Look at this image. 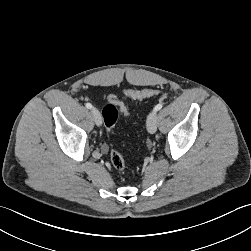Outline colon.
Listing matches in <instances>:
<instances>
[{
	"instance_id": "5ec220e1",
	"label": "colon",
	"mask_w": 251,
	"mask_h": 251,
	"mask_svg": "<svg viewBox=\"0 0 251 251\" xmlns=\"http://www.w3.org/2000/svg\"><path fill=\"white\" fill-rule=\"evenodd\" d=\"M158 92L159 91L156 89H129L124 91V95L134 100H142L156 95ZM119 111L123 112L124 114H128L127 106L120 101L116 95H110L108 103L102 109L104 123L108 130L114 128L118 119ZM110 160L113 167L117 170H123L126 166V162L122 154L114 149H112L110 152Z\"/></svg>"
}]
</instances>
